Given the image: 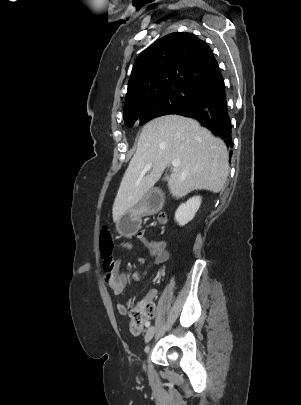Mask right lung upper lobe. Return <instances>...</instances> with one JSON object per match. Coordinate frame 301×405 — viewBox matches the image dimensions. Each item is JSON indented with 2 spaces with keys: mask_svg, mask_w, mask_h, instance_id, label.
I'll return each instance as SVG.
<instances>
[{
  "mask_svg": "<svg viewBox=\"0 0 301 405\" xmlns=\"http://www.w3.org/2000/svg\"><path fill=\"white\" fill-rule=\"evenodd\" d=\"M224 83L210 47L191 33H171L144 50L128 82L124 113L151 95L175 88L209 93Z\"/></svg>",
  "mask_w": 301,
  "mask_h": 405,
  "instance_id": "cb5924a9",
  "label": "right lung upper lobe"
}]
</instances>
